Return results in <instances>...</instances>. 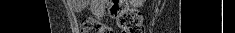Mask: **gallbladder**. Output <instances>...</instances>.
Here are the masks:
<instances>
[{
  "mask_svg": "<svg viewBox=\"0 0 235 33\" xmlns=\"http://www.w3.org/2000/svg\"><path fill=\"white\" fill-rule=\"evenodd\" d=\"M87 1L88 0H84V4H82V7H85Z\"/></svg>",
  "mask_w": 235,
  "mask_h": 33,
  "instance_id": "obj_1",
  "label": "gallbladder"
}]
</instances>
